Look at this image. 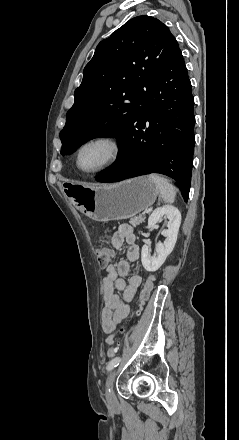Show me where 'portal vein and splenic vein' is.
Returning a JSON list of instances; mask_svg holds the SVG:
<instances>
[{"mask_svg":"<svg viewBox=\"0 0 239 440\" xmlns=\"http://www.w3.org/2000/svg\"><path fill=\"white\" fill-rule=\"evenodd\" d=\"M153 207H149L148 209H147V211H146V214H149V212H152L153 211Z\"/></svg>","mask_w":239,"mask_h":440,"instance_id":"portal-vein-and-splenic-vein-1","label":"portal vein and splenic vein"}]
</instances>
